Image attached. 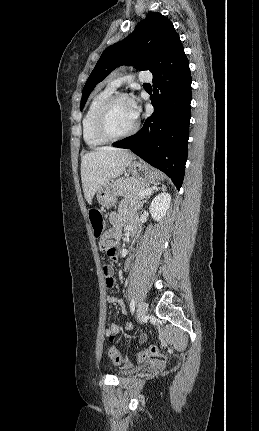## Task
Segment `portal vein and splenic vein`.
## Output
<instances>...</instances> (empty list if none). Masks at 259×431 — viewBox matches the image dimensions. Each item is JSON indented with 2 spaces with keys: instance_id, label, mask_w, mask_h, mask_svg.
Wrapping results in <instances>:
<instances>
[{
  "instance_id": "obj_1",
  "label": "portal vein and splenic vein",
  "mask_w": 259,
  "mask_h": 431,
  "mask_svg": "<svg viewBox=\"0 0 259 431\" xmlns=\"http://www.w3.org/2000/svg\"><path fill=\"white\" fill-rule=\"evenodd\" d=\"M149 193H151V189H150V188H147V189H145V190H142L139 194H140V195H147V194H149Z\"/></svg>"
}]
</instances>
